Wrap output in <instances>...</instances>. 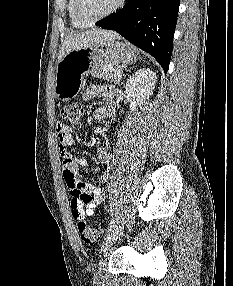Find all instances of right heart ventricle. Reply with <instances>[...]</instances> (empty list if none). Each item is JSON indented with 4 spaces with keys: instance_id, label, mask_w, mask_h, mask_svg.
<instances>
[{
    "instance_id": "1",
    "label": "right heart ventricle",
    "mask_w": 233,
    "mask_h": 286,
    "mask_svg": "<svg viewBox=\"0 0 233 286\" xmlns=\"http://www.w3.org/2000/svg\"><path fill=\"white\" fill-rule=\"evenodd\" d=\"M67 11L72 25L76 28H85L88 25L78 19L75 13V0H68Z\"/></svg>"
}]
</instances>
